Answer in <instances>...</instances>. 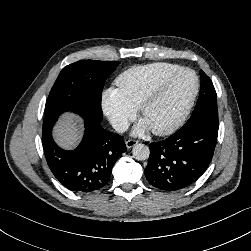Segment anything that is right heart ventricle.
I'll use <instances>...</instances> for the list:
<instances>
[{
	"instance_id": "right-heart-ventricle-1",
	"label": "right heart ventricle",
	"mask_w": 251,
	"mask_h": 251,
	"mask_svg": "<svg viewBox=\"0 0 251 251\" xmlns=\"http://www.w3.org/2000/svg\"><path fill=\"white\" fill-rule=\"evenodd\" d=\"M179 68L181 66L168 62H155L129 68L116 78L117 90L131 107L138 109L148 92L161 79Z\"/></svg>"
}]
</instances>
